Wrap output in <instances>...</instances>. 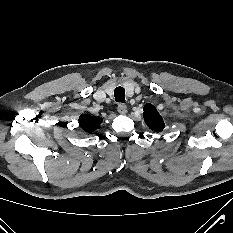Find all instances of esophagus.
<instances>
[{
    "label": "esophagus",
    "mask_w": 233,
    "mask_h": 233,
    "mask_svg": "<svg viewBox=\"0 0 233 233\" xmlns=\"http://www.w3.org/2000/svg\"><path fill=\"white\" fill-rule=\"evenodd\" d=\"M117 111L120 114H126L127 113V106L125 104H119L117 107Z\"/></svg>",
    "instance_id": "34e87169"
}]
</instances>
